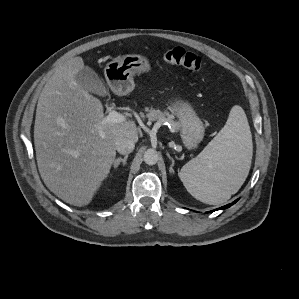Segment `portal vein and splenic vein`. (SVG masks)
<instances>
[{"label":"portal vein and splenic vein","instance_id":"portal-vein-and-splenic-vein-1","mask_svg":"<svg viewBox=\"0 0 299 299\" xmlns=\"http://www.w3.org/2000/svg\"><path fill=\"white\" fill-rule=\"evenodd\" d=\"M126 118L123 114L115 111V110H110L109 111V114L104 117V119L102 120L100 126L98 127L100 130L102 129V126L104 124H107V123H121L123 121H125Z\"/></svg>","mask_w":299,"mask_h":299}]
</instances>
